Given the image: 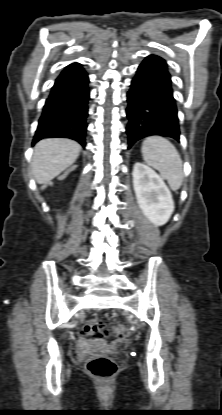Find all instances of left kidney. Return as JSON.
Instances as JSON below:
<instances>
[{
    "label": "left kidney",
    "mask_w": 222,
    "mask_h": 415,
    "mask_svg": "<svg viewBox=\"0 0 222 415\" xmlns=\"http://www.w3.org/2000/svg\"><path fill=\"white\" fill-rule=\"evenodd\" d=\"M132 176L137 202L143 214L157 226L167 223L174 211V202L163 179L142 163H135Z\"/></svg>",
    "instance_id": "1"
}]
</instances>
